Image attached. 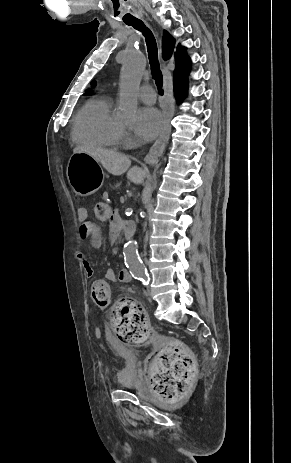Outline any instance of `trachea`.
I'll use <instances>...</instances> for the list:
<instances>
[{
  "mask_svg": "<svg viewBox=\"0 0 291 463\" xmlns=\"http://www.w3.org/2000/svg\"><path fill=\"white\" fill-rule=\"evenodd\" d=\"M126 24L141 31L145 36L152 76L155 79L158 92L162 95L163 76L159 66L157 43L153 33L149 29H145L141 21H133Z\"/></svg>",
  "mask_w": 291,
  "mask_h": 463,
  "instance_id": "1",
  "label": "trachea"
}]
</instances>
